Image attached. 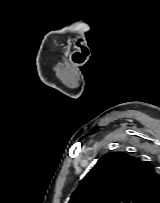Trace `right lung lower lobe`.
<instances>
[{"mask_svg": "<svg viewBox=\"0 0 160 203\" xmlns=\"http://www.w3.org/2000/svg\"><path fill=\"white\" fill-rule=\"evenodd\" d=\"M150 203H160V196L154 199L153 201H151Z\"/></svg>", "mask_w": 160, "mask_h": 203, "instance_id": "1", "label": "right lung lower lobe"}]
</instances>
